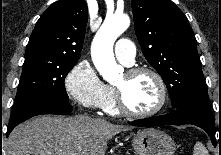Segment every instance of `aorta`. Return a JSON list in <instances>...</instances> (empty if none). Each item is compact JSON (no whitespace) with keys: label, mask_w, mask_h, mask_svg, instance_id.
<instances>
[{"label":"aorta","mask_w":221,"mask_h":155,"mask_svg":"<svg viewBox=\"0 0 221 155\" xmlns=\"http://www.w3.org/2000/svg\"><path fill=\"white\" fill-rule=\"evenodd\" d=\"M129 25L130 19L127 15L107 17L93 39V63L103 79L108 82L116 80L121 71L114 58L113 45Z\"/></svg>","instance_id":"aorta-1"}]
</instances>
